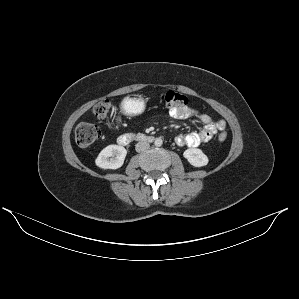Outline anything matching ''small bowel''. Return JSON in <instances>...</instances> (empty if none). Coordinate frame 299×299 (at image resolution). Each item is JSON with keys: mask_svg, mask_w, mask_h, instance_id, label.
Wrapping results in <instances>:
<instances>
[{"mask_svg": "<svg viewBox=\"0 0 299 299\" xmlns=\"http://www.w3.org/2000/svg\"><path fill=\"white\" fill-rule=\"evenodd\" d=\"M169 114L172 118L179 120L196 118L203 124L200 131L178 135L175 139L178 146L197 147L208 142L218 131H223L226 128L224 120L213 121L208 114L187 105L170 108Z\"/></svg>", "mask_w": 299, "mask_h": 299, "instance_id": "obj_1", "label": "small bowel"}]
</instances>
